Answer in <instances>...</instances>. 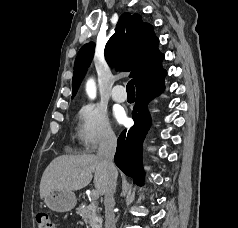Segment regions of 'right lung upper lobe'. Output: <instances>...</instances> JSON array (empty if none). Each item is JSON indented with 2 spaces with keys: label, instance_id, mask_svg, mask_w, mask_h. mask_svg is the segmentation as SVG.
I'll list each match as a JSON object with an SVG mask.
<instances>
[{
  "label": "right lung upper lobe",
  "instance_id": "right-lung-upper-lobe-1",
  "mask_svg": "<svg viewBox=\"0 0 238 228\" xmlns=\"http://www.w3.org/2000/svg\"><path fill=\"white\" fill-rule=\"evenodd\" d=\"M159 39L153 27L142 21L139 14L124 13L119 18L115 33L105 47V58L116 70L131 71L136 87L156 75L165 57L158 50ZM94 54V44H85L79 50L74 64L72 91L75 96L80 82Z\"/></svg>",
  "mask_w": 238,
  "mask_h": 228
}]
</instances>
